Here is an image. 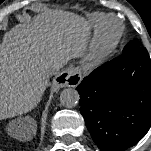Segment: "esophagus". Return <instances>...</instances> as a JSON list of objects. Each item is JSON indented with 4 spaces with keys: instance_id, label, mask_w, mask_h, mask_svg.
I'll list each match as a JSON object with an SVG mask.
<instances>
[{
    "instance_id": "esophagus-1",
    "label": "esophagus",
    "mask_w": 151,
    "mask_h": 151,
    "mask_svg": "<svg viewBox=\"0 0 151 151\" xmlns=\"http://www.w3.org/2000/svg\"><path fill=\"white\" fill-rule=\"evenodd\" d=\"M82 79L81 72L78 67H72L58 74L52 82V91L57 92L64 87H75Z\"/></svg>"
}]
</instances>
